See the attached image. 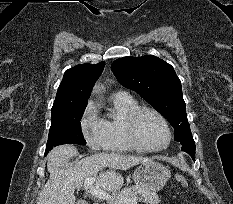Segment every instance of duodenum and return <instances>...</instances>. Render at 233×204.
Listing matches in <instances>:
<instances>
[{
	"instance_id": "obj_1",
	"label": "duodenum",
	"mask_w": 233,
	"mask_h": 204,
	"mask_svg": "<svg viewBox=\"0 0 233 204\" xmlns=\"http://www.w3.org/2000/svg\"><path fill=\"white\" fill-rule=\"evenodd\" d=\"M93 204H99L98 202H95V203H93Z\"/></svg>"
}]
</instances>
